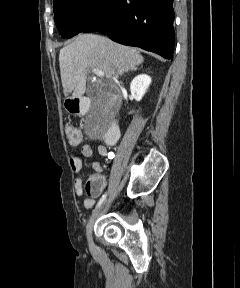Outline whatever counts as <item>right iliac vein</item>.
<instances>
[{
  "mask_svg": "<svg viewBox=\"0 0 240 288\" xmlns=\"http://www.w3.org/2000/svg\"><path fill=\"white\" fill-rule=\"evenodd\" d=\"M103 205L98 208L93 214L92 216L90 217L89 219V222L86 226V235H87V239H88V242H89V245L92 247L93 246V240H92V230H93V226H94V223L102 209Z\"/></svg>",
  "mask_w": 240,
  "mask_h": 288,
  "instance_id": "1",
  "label": "right iliac vein"
}]
</instances>
